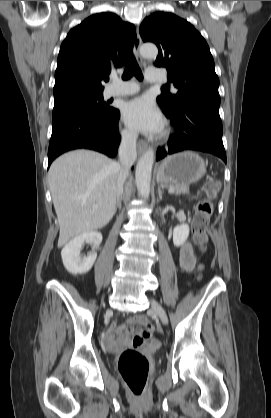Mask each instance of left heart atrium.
I'll return each mask as SVG.
<instances>
[{"label": "left heart atrium", "mask_w": 271, "mask_h": 418, "mask_svg": "<svg viewBox=\"0 0 271 418\" xmlns=\"http://www.w3.org/2000/svg\"><path fill=\"white\" fill-rule=\"evenodd\" d=\"M123 120L134 132L155 134L162 130L164 120L153 102L145 97L135 98L123 107Z\"/></svg>", "instance_id": "1"}]
</instances>
